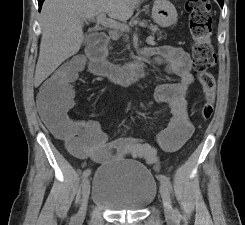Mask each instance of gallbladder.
Masks as SVG:
<instances>
[{"mask_svg":"<svg viewBox=\"0 0 245 225\" xmlns=\"http://www.w3.org/2000/svg\"><path fill=\"white\" fill-rule=\"evenodd\" d=\"M89 41H90L89 38L86 37V38L83 40V43H84V44H87Z\"/></svg>","mask_w":245,"mask_h":225,"instance_id":"gallbladder-1","label":"gallbladder"}]
</instances>
